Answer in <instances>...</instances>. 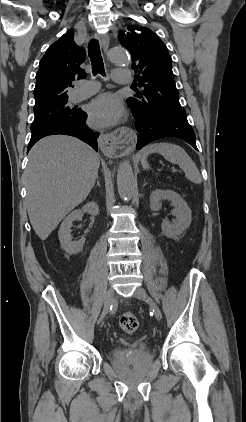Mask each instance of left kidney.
Segmentation results:
<instances>
[{
	"mask_svg": "<svg viewBox=\"0 0 246 422\" xmlns=\"http://www.w3.org/2000/svg\"><path fill=\"white\" fill-rule=\"evenodd\" d=\"M163 200L171 201L174 206L173 215L176 219L169 222L163 220L161 224L162 233L168 238H177L189 228L192 216L191 210L181 196L173 190L156 189L150 195V209L159 211Z\"/></svg>",
	"mask_w": 246,
	"mask_h": 422,
	"instance_id": "5707ae66",
	"label": "left kidney"
}]
</instances>
